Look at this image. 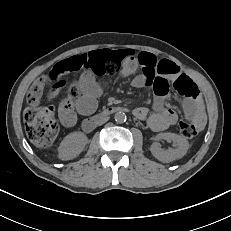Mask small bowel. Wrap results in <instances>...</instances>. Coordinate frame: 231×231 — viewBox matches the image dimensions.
Returning a JSON list of instances; mask_svg holds the SVG:
<instances>
[{
	"label": "small bowel",
	"mask_w": 231,
	"mask_h": 231,
	"mask_svg": "<svg viewBox=\"0 0 231 231\" xmlns=\"http://www.w3.org/2000/svg\"><path fill=\"white\" fill-rule=\"evenodd\" d=\"M141 68L133 80L136 87L155 90V80L161 78L170 82L182 75L180 68L170 60L158 59L149 52H135L129 49L96 50L72 56L58 62L50 69L54 75L63 76L72 72H80L69 94L61 101L58 113L62 124L72 127L76 124L77 114H89L96 108V97L102 90L99 76L118 75L130 76ZM183 108L187 118L202 130L206 116L201 97L186 98ZM135 116L146 121L154 131H164L174 125L178 114L174 109L166 106L164 96L158 95L154 100L153 108L138 107L134 110Z\"/></svg>",
	"instance_id": "obj_1"
}]
</instances>
